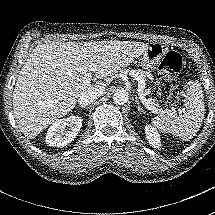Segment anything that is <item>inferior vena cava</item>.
<instances>
[{"instance_id": "1", "label": "inferior vena cava", "mask_w": 215, "mask_h": 215, "mask_svg": "<svg viewBox=\"0 0 215 215\" xmlns=\"http://www.w3.org/2000/svg\"><path fill=\"white\" fill-rule=\"evenodd\" d=\"M104 93H105L104 89H99V90L92 92V93H84L78 98V103L81 106H88L92 102H94L95 100H97L98 98L103 96Z\"/></svg>"}]
</instances>
